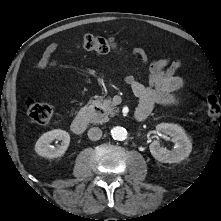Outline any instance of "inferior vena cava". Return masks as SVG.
<instances>
[{"label": "inferior vena cava", "instance_id": "1", "mask_svg": "<svg viewBox=\"0 0 221 221\" xmlns=\"http://www.w3.org/2000/svg\"><path fill=\"white\" fill-rule=\"evenodd\" d=\"M88 137L90 140L96 141L102 137V131L98 127H92L88 130Z\"/></svg>", "mask_w": 221, "mask_h": 221}]
</instances>
